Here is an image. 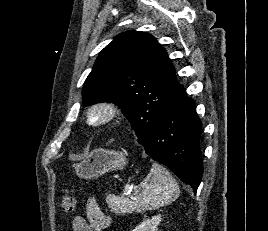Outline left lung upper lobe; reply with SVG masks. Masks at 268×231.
<instances>
[{
    "label": "left lung upper lobe",
    "mask_w": 268,
    "mask_h": 231,
    "mask_svg": "<svg viewBox=\"0 0 268 231\" xmlns=\"http://www.w3.org/2000/svg\"><path fill=\"white\" fill-rule=\"evenodd\" d=\"M182 88L166 50L156 39L128 31L100 52L84 82L83 105L115 103L140 137L154 127Z\"/></svg>",
    "instance_id": "5c2ea615"
}]
</instances>
